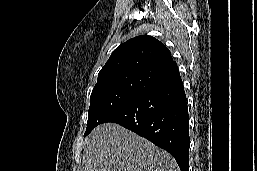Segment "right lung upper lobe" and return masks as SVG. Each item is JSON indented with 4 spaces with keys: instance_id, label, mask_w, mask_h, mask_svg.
Here are the masks:
<instances>
[{
    "instance_id": "cb5924a9",
    "label": "right lung upper lobe",
    "mask_w": 257,
    "mask_h": 171,
    "mask_svg": "<svg viewBox=\"0 0 257 171\" xmlns=\"http://www.w3.org/2000/svg\"><path fill=\"white\" fill-rule=\"evenodd\" d=\"M177 72L168 48L154 37L142 35L115 49L99 72L94 88L135 84L149 88Z\"/></svg>"
}]
</instances>
